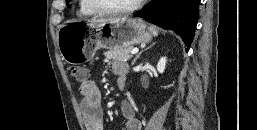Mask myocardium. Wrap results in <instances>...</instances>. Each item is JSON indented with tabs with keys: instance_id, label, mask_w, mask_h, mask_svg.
<instances>
[{
	"instance_id": "1",
	"label": "myocardium",
	"mask_w": 257,
	"mask_h": 130,
	"mask_svg": "<svg viewBox=\"0 0 257 130\" xmlns=\"http://www.w3.org/2000/svg\"><path fill=\"white\" fill-rule=\"evenodd\" d=\"M145 0H136L133 4L123 8H106L98 5L94 0H85L87 7L96 14L118 15L132 13L137 10Z\"/></svg>"
}]
</instances>
